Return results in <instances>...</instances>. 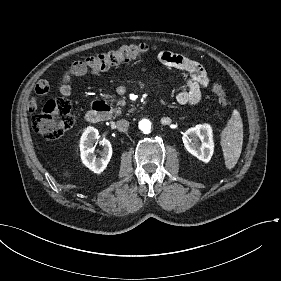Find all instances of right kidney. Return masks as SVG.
Masks as SVG:
<instances>
[{"mask_svg":"<svg viewBox=\"0 0 281 281\" xmlns=\"http://www.w3.org/2000/svg\"><path fill=\"white\" fill-rule=\"evenodd\" d=\"M100 137L98 129L88 127L82 134L80 142L81 158L83 163L94 173L100 174L106 168L112 156L111 143L103 140V151L101 157L96 158L94 154V143Z\"/></svg>","mask_w":281,"mask_h":281,"instance_id":"1","label":"right kidney"}]
</instances>
